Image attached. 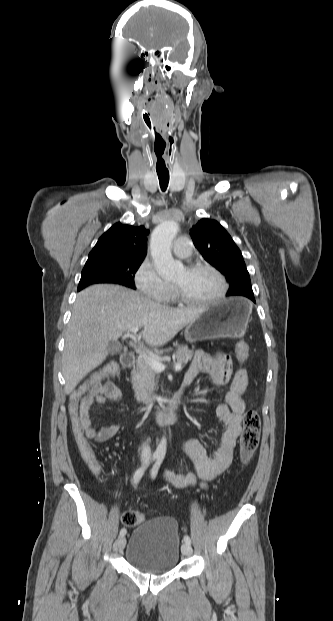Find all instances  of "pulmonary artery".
<instances>
[{
  "instance_id": "e3ab8cb5",
  "label": "pulmonary artery",
  "mask_w": 333,
  "mask_h": 621,
  "mask_svg": "<svg viewBox=\"0 0 333 621\" xmlns=\"http://www.w3.org/2000/svg\"><path fill=\"white\" fill-rule=\"evenodd\" d=\"M173 253L180 258H187L191 254V242L186 237H179L173 244Z\"/></svg>"
}]
</instances>
